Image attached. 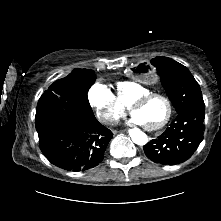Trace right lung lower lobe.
I'll return each instance as SVG.
<instances>
[{"label": "right lung lower lobe", "mask_w": 221, "mask_h": 221, "mask_svg": "<svg viewBox=\"0 0 221 221\" xmlns=\"http://www.w3.org/2000/svg\"><path fill=\"white\" fill-rule=\"evenodd\" d=\"M112 136L97 119L88 123L69 120L39 135V145L55 166L68 171H85L102 162Z\"/></svg>", "instance_id": "right-lung-lower-lobe-1"}]
</instances>
